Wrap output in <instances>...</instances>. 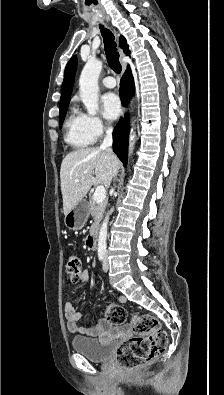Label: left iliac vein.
<instances>
[{"mask_svg":"<svg viewBox=\"0 0 224 395\" xmlns=\"http://www.w3.org/2000/svg\"><path fill=\"white\" fill-rule=\"evenodd\" d=\"M108 269H109V261H108L107 255H106V257H105V259H104V262H103V270H104L105 272H107Z\"/></svg>","mask_w":224,"mask_h":395,"instance_id":"1","label":"left iliac vein"}]
</instances>
